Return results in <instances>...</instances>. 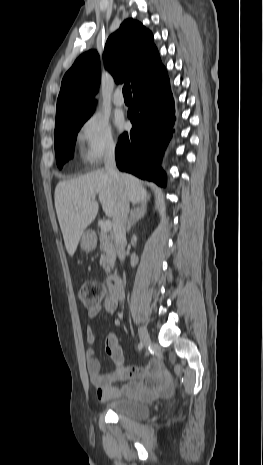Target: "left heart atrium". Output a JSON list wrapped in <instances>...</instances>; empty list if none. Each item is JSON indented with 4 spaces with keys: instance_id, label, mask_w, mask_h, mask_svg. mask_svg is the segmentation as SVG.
I'll return each instance as SVG.
<instances>
[{
    "instance_id": "left-heart-atrium-1",
    "label": "left heart atrium",
    "mask_w": 263,
    "mask_h": 465,
    "mask_svg": "<svg viewBox=\"0 0 263 465\" xmlns=\"http://www.w3.org/2000/svg\"><path fill=\"white\" fill-rule=\"evenodd\" d=\"M118 125H119L120 128H124L125 123L122 120H119Z\"/></svg>"
}]
</instances>
